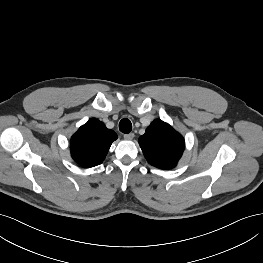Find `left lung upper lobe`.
Listing matches in <instances>:
<instances>
[{
	"mask_svg": "<svg viewBox=\"0 0 263 263\" xmlns=\"http://www.w3.org/2000/svg\"><path fill=\"white\" fill-rule=\"evenodd\" d=\"M139 145L148 163L160 169L175 167L185 147L183 137L159 119L147 127Z\"/></svg>",
	"mask_w": 263,
	"mask_h": 263,
	"instance_id": "5c2ea615",
	"label": "left lung upper lobe"
}]
</instances>
